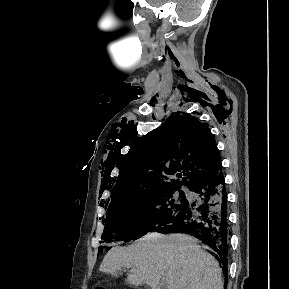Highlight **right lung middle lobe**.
Returning a JSON list of instances; mask_svg holds the SVG:
<instances>
[{"instance_id":"1","label":"right lung middle lobe","mask_w":289,"mask_h":289,"mask_svg":"<svg viewBox=\"0 0 289 289\" xmlns=\"http://www.w3.org/2000/svg\"><path fill=\"white\" fill-rule=\"evenodd\" d=\"M175 188H167L132 196L108 207L104 242L133 240L153 231L158 225L175 216L188 203L182 191L176 195ZM179 190V189H178ZM160 204L162 208L154 210Z\"/></svg>"}]
</instances>
